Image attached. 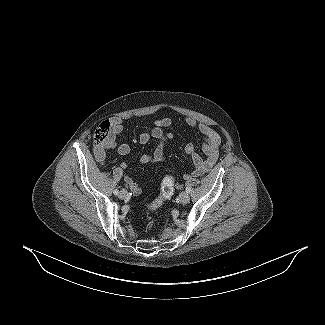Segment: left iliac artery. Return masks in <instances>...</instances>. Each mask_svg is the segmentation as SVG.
<instances>
[{"label": "left iliac artery", "mask_w": 325, "mask_h": 325, "mask_svg": "<svg viewBox=\"0 0 325 325\" xmlns=\"http://www.w3.org/2000/svg\"><path fill=\"white\" fill-rule=\"evenodd\" d=\"M186 192H187V193H190V192H191V188L187 187V188H186Z\"/></svg>", "instance_id": "44dca946"}]
</instances>
